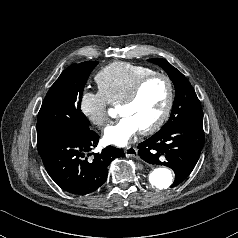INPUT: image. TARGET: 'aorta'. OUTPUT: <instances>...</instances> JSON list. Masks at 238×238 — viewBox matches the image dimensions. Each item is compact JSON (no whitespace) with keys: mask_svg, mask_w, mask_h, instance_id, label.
Masks as SVG:
<instances>
[{"mask_svg":"<svg viewBox=\"0 0 238 238\" xmlns=\"http://www.w3.org/2000/svg\"><path fill=\"white\" fill-rule=\"evenodd\" d=\"M149 182L159 190L168 189L173 182V174L167 168L157 167L151 170Z\"/></svg>","mask_w":238,"mask_h":238,"instance_id":"aorta-1","label":"aorta"}]
</instances>
